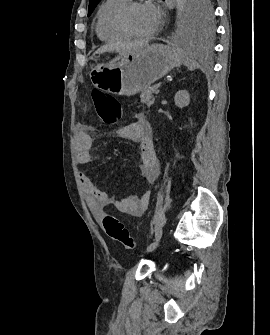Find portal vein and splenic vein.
Here are the masks:
<instances>
[{
  "label": "portal vein and splenic vein",
  "mask_w": 270,
  "mask_h": 335,
  "mask_svg": "<svg viewBox=\"0 0 270 335\" xmlns=\"http://www.w3.org/2000/svg\"><path fill=\"white\" fill-rule=\"evenodd\" d=\"M155 96H159V90H155Z\"/></svg>",
  "instance_id": "portal-vein-and-splenic-vein-1"
}]
</instances>
